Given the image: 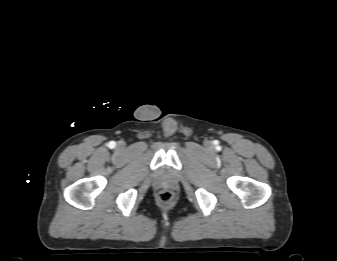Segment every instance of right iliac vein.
I'll use <instances>...</instances> for the list:
<instances>
[{"mask_svg": "<svg viewBox=\"0 0 337 261\" xmlns=\"http://www.w3.org/2000/svg\"><path fill=\"white\" fill-rule=\"evenodd\" d=\"M118 146H119V147H123V143L120 142V143L118 144Z\"/></svg>", "mask_w": 337, "mask_h": 261, "instance_id": "right-iliac-vein-1", "label": "right iliac vein"}]
</instances>
